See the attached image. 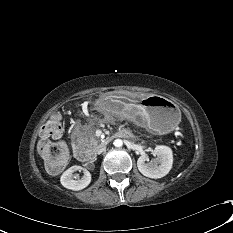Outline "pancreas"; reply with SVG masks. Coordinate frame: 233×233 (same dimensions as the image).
Instances as JSON below:
<instances>
[{
    "instance_id": "obj_1",
    "label": "pancreas",
    "mask_w": 233,
    "mask_h": 233,
    "mask_svg": "<svg viewBox=\"0 0 233 233\" xmlns=\"http://www.w3.org/2000/svg\"><path fill=\"white\" fill-rule=\"evenodd\" d=\"M93 142H94V145H97V141L96 140H94Z\"/></svg>"
}]
</instances>
